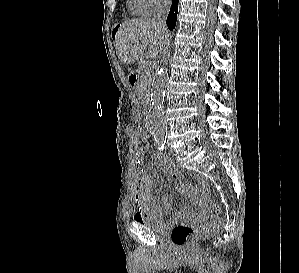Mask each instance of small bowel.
Listing matches in <instances>:
<instances>
[{"label": "small bowel", "instance_id": "1", "mask_svg": "<svg viewBox=\"0 0 299 273\" xmlns=\"http://www.w3.org/2000/svg\"><path fill=\"white\" fill-rule=\"evenodd\" d=\"M149 148L141 147L138 152L137 164L141 165L142 157L148 152ZM155 165L174 179L181 178V172L176 165L168 158L161 154L155 157ZM177 190L186 197L198 202L197 196L192 192L188 185L184 182L177 184ZM135 211L133 218L135 221H140L146 216H155L159 219L171 211L173 207V198L170 194H164L161 197V204H157L153 197L152 180L148 174H143L135 180V195H134ZM193 216L192 209L188 205H182L174 214V220L179 221Z\"/></svg>", "mask_w": 299, "mask_h": 273}]
</instances>
